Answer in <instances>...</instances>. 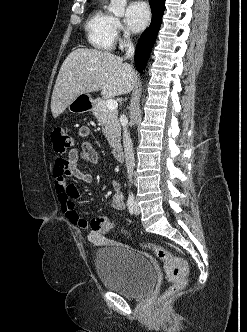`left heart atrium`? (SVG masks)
Instances as JSON below:
<instances>
[{
    "label": "left heart atrium",
    "mask_w": 247,
    "mask_h": 332,
    "mask_svg": "<svg viewBox=\"0 0 247 332\" xmlns=\"http://www.w3.org/2000/svg\"><path fill=\"white\" fill-rule=\"evenodd\" d=\"M150 19L148 5L143 1H134L129 4L125 14L127 26L133 31H140L146 27Z\"/></svg>",
    "instance_id": "obj_1"
}]
</instances>
